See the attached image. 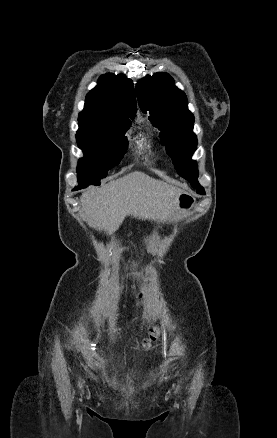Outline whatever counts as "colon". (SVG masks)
<instances>
[{"label": "colon", "mask_w": 277, "mask_h": 438, "mask_svg": "<svg viewBox=\"0 0 277 438\" xmlns=\"http://www.w3.org/2000/svg\"><path fill=\"white\" fill-rule=\"evenodd\" d=\"M161 326L152 327L149 330V334L146 338H144L143 343L145 347H151L154 344V341H157L160 337Z\"/></svg>", "instance_id": "1"}]
</instances>
